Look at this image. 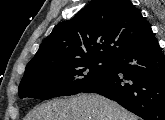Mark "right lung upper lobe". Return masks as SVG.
I'll return each instance as SVG.
<instances>
[{
  "instance_id": "right-lung-upper-lobe-1",
  "label": "right lung upper lobe",
  "mask_w": 165,
  "mask_h": 120,
  "mask_svg": "<svg viewBox=\"0 0 165 120\" xmlns=\"http://www.w3.org/2000/svg\"><path fill=\"white\" fill-rule=\"evenodd\" d=\"M152 36L150 24L130 0H95L58 23L27 66L77 58L113 61Z\"/></svg>"
}]
</instances>
